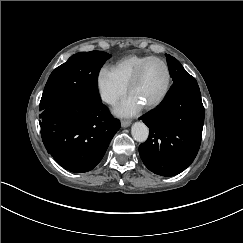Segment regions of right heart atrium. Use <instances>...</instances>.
<instances>
[{
  "instance_id": "right-heart-atrium-1",
  "label": "right heart atrium",
  "mask_w": 243,
  "mask_h": 243,
  "mask_svg": "<svg viewBox=\"0 0 243 243\" xmlns=\"http://www.w3.org/2000/svg\"><path fill=\"white\" fill-rule=\"evenodd\" d=\"M95 87L100 100L113 104L126 94V87L118 81L111 66L102 65L95 75Z\"/></svg>"
}]
</instances>
